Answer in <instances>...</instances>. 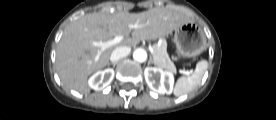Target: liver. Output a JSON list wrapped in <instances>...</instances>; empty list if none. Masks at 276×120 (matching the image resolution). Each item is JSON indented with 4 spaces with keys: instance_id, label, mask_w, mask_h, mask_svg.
<instances>
[{
    "instance_id": "liver-1",
    "label": "liver",
    "mask_w": 276,
    "mask_h": 120,
    "mask_svg": "<svg viewBox=\"0 0 276 120\" xmlns=\"http://www.w3.org/2000/svg\"><path fill=\"white\" fill-rule=\"evenodd\" d=\"M191 20L168 8H152L141 13H91L68 25L58 44L56 69L61 82L70 89L89 94L88 77L109 64L115 48L135 47L141 40H155ZM134 26V27H133ZM132 32V37H128ZM116 36L124 39L104 50L92 45L106 42Z\"/></svg>"
}]
</instances>
